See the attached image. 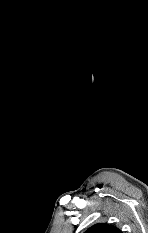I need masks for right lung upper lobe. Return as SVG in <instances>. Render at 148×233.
I'll use <instances>...</instances> for the list:
<instances>
[{"mask_svg":"<svg viewBox=\"0 0 148 233\" xmlns=\"http://www.w3.org/2000/svg\"><path fill=\"white\" fill-rule=\"evenodd\" d=\"M85 233H122L118 228L108 224L98 223L90 227Z\"/></svg>","mask_w":148,"mask_h":233,"instance_id":"obj_1","label":"right lung upper lobe"}]
</instances>
